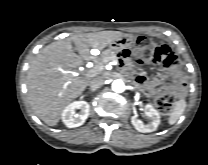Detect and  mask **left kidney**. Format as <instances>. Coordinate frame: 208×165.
I'll return each mask as SVG.
<instances>
[{"label":"left kidney","instance_id":"obj_1","mask_svg":"<svg viewBox=\"0 0 208 165\" xmlns=\"http://www.w3.org/2000/svg\"><path fill=\"white\" fill-rule=\"evenodd\" d=\"M145 114L151 120L148 124L142 123V121L138 119V115L135 114L131 118L132 125L139 132L146 133L155 131L160 124V115L158 111L152 105L147 104L145 106Z\"/></svg>","mask_w":208,"mask_h":165}]
</instances>
